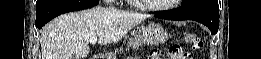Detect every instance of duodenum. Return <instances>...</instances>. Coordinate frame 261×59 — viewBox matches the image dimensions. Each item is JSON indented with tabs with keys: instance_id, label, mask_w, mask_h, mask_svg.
Segmentation results:
<instances>
[{
	"instance_id": "410a0bca",
	"label": "duodenum",
	"mask_w": 261,
	"mask_h": 59,
	"mask_svg": "<svg viewBox=\"0 0 261 59\" xmlns=\"http://www.w3.org/2000/svg\"><path fill=\"white\" fill-rule=\"evenodd\" d=\"M91 59H107L105 55L102 54H94Z\"/></svg>"
}]
</instances>
